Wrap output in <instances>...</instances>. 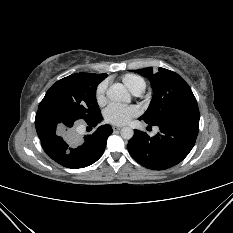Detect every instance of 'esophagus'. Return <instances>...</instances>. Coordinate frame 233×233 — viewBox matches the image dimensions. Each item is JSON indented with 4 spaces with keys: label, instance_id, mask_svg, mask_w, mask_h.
I'll list each match as a JSON object with an SVG mask.
<instances>
[{
    "label": "esophagus",
    "instance_id": "obj_1",
    "mask_svg": "<svg viewBox=\"0 0 233 233\" xmlns=\"http://www.w3.org/2000/svg\"><path fill=\"white\" fill-rule=\"evenodd\" d=\"M122 127L120 126H112L113 131H120Z\"/></svg>",
    "mask_w": 233,
    "mask_h": 233
}]
</instances>
